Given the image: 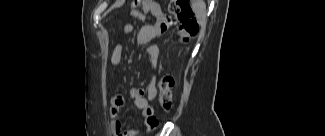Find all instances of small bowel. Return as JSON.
I'll return each mask as SVG.
<instances>
[{"label":"small bowel","instance_id":"obj_1","mask_svg":"<svg viewBox=\"0 0 325 136\" xmlns=\"http://www.w3.org/2000/svg\"><path fill=\"white\" fill-rule=\"evenodd\" d=\"M163 24H155L143 26L137 33L136 43L139 46H147L146 52L150 67L156 69L159 48L156 45H149L150 41L159 37L164 31ZM135 31L133 24H127L123 28L124 35H131ZM125 46L122 41H117L114 45L113 52L110 58L111 64L115 67L119 66L122 60ZM157 93L156 77L153 76L150 82L145 87H136L130 90L129 96L137 109L142 112L144 125L148 130H154L158 126V120L154 116V110L151 102L154 100ZM125 103L123 94H116L110 100V114L116 118ZM112 130L116 136H137L139 130L136 128L124 129L121 121L115 119L112 122Z\"/></svg>","mask_w":325,"mask_h":136}]
</instances>
